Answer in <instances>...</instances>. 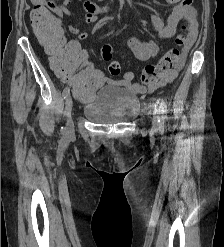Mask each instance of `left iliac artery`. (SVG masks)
<instances>
[{
  "mask_svg": "<svg viewBox=\"0 0 224 247\" xmlns=\"http://www.w3.org/2000/svg\"><path fill=\"white\" fill-rule=\"evenodd\" d=\"M158 103H159V118H158V122H159V128L161 131L164 130V122L166 119V103L162 98L158 99Z\"/></svg>",
  "mask_w": 224,
  "mask_h": 247,
  "instance_id": "obj_1",
  "label": "left iliac artery"
}]
</instances>
